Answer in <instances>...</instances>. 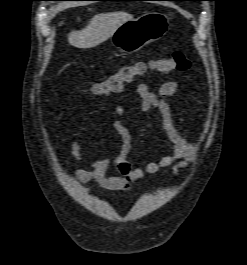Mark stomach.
<instances>
[{
    "mask_svg": "<svg viewBox=\"0 0 247 265\" xmlns=\"http://www.w3.org/2000/svg\"><path fill=\"white\" fill-rule=\"evenodd\" d=\"M169 29V19L161 12H147L123 23L111 36L112 44L123 53H134L159 40Z\"/></svg>",
    "mask_w": 247,
    "mask_h": 265,
    "instance_id": "1",
    "label": "stomach"
}]
</instances>
